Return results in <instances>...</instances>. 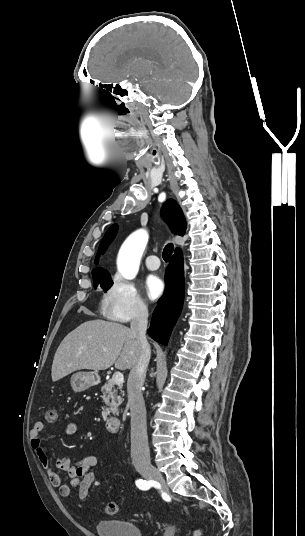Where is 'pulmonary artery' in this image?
I'll return each mask as SVG.
<instances>
[{
	"mask_svg": "<svg viewBox=\"0 0 305 536\" xmlns=\"http://www.w3.org/2000/svg\"><path fill=\"white\" fill-rule=\"evenodd\" d=\"M158 261H159V256L157 254L149 255L145 259L146 266L151 271H155V270L159 269L160 264L157 263Z\"/></svg>",
	"mask_w": 305,
	"mask_h": 536,
	"instance_id": "1",
	"label": "pulmonary artery"
}]
</instances>
